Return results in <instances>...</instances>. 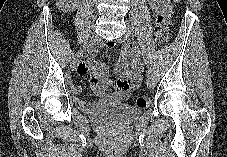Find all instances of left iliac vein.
<instances>
[{
  "mask_svg": "<svg viewBox=\"0 0 227 157\" xmlns=\"http://www.w3.org/2000/svg\"><path fill=\"white\" fill-rule=\"evenodd\" d=\"M132 33L131 27L128 25V28L124 35L118 39L119 42H125L127 39H129L130 35ZM147 86L149 88H153L155 86V78L152 73L148 74L147 76Z\"/></svg>",
  "mask_w": 227,
  "mask_h": 157,
  "instance_id": "4c4485c4",
  "label": "left iliac vein"
}]
</instances>
